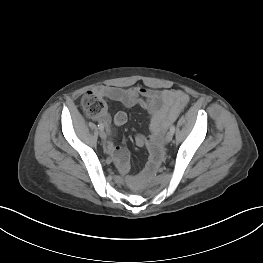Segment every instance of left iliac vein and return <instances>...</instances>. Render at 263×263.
Segmentation results:
<instances>
[{
	"mask_svg": "<svg viewBox=\"0 0 263 263\" xmlns=\"http://www.w3.org/2000/svg\"><path fill=\"white\" fill-rule=\"evenodd\" d=\"M172 139H173V133L170 131V132L167 133V135H166V137H165V141H166L167 143H169V142L172 141Z\"/></svg>",
	"mask_w": 263,
	"mask_h": 263,
	"instance_id": "1",
	"label": "left iliac vein"
}]
</instances>
